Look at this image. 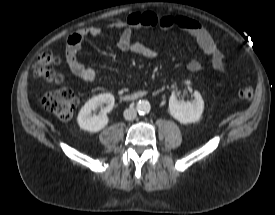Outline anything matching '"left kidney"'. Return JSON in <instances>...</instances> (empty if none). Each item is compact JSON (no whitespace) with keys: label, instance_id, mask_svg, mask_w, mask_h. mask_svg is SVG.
Here are the masks:
<instances>
[{"label":"left kidney","instance_id":"5707ae66","mask_svg":"<svg viewBox=\"0 0 275 215\" xmlns=\"http://www.w3.org/2000/svg\"><path fill=\"white\" fill-rule=\"evenodd\" d=\"M189 85L190 81H186ZM195 99L190 101H180L172 94L169 98V112L173 118L180 123L188 124L197 122L204 109V101L198 91L194 92Z\"/></svg>","mask_w":275,"mask_h":215}]
</instances>
